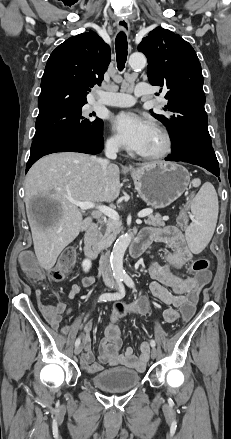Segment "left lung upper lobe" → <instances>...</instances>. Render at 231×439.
Segmentation results:
<instances>
[{"instance_id":"obj_1","label":"left lung upper lobe","mask_w":231,"mask_h":439,"mask_svg":"<svg viewBox=\"0 0 231 439\" xmlns=\"http://www.w3.org/2000/svg\"><path fill=\"white\" fill-rule=\"evenodd\" d=\"M138 50L148 59L149 82L167 92L166 115L150 112L167 127L173 147L186 142L212 145L201 65L192 46L170 30L157 27L142 39Z\"/></svg>"}]
</instances>
